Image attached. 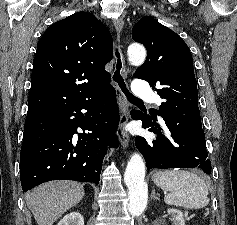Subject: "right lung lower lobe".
Wrapping results in <instances>:
<instances>
[{"mask_svg": "<svg viewBox=\"0 0 237 225\" xmlns=\"http://www.w3.org/2000/svg\"><path fill=\"white\" fill-rule=\"evenodd\" d=\"M118 123L110 84L64 105L28 111L20 155L22 190L60 179L98 184L106 147L118 146ZM79 128L84 132L77 133Z\"/></svg>", "mask_w": 237, "mask_h": 225, "instance_id": "98d812e1", "label": "right lung lower lobe"}]
</instances>
